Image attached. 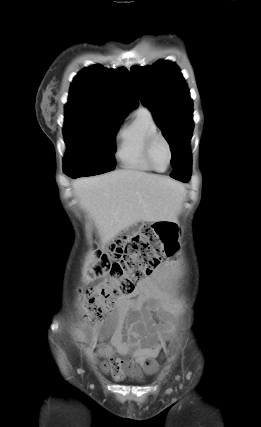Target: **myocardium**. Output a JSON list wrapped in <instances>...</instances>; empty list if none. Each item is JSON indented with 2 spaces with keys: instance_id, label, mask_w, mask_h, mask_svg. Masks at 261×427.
<instances>
[{
  "instance_id": "f54148a6",
  "label": "myocardium",
  "mask_w": 261,
  "mask_h": 427,
  "mask_svg": "<svg viewBox=\"0 0 261 427\" xmlns=\"http://www.w3.org/2000/svg\"><path fill=\"white\" fill-rule=\"evenodd\" d=\"M158 140H162L166 144L168 152H169V161H168L166 168L163 170H160L155 166V164L153 162V158H152L153 147H154L156 141H158ZM144 154H145V159H146L147 163L156 172H166L169 169V167L171 166L172 161H173V149H172L171 143L169 142L168 138L163 133H161L159 131L152 133L147 138L146 143H145Z\"/></svg>"
}]
</instances>
